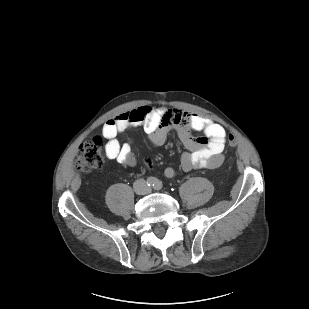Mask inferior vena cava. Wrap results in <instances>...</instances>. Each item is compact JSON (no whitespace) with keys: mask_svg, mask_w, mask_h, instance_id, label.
<instances>
[{"mask_svg":"<svg viewBox=\"0 0 309 309\" xmlns=\"http://www.w3.org/2000/svg\"><path fill=\"white\" fill-rule=\"evenodd\" d=\"M133 188L137 194L145 195L150 192V188L147 186V182L144 179L136 180L133 184Z\"/></svg>","mask_w":309,"mask_h":309,"instance_id":"obj_1","label":"inferior vena cava"}]
</instances>
